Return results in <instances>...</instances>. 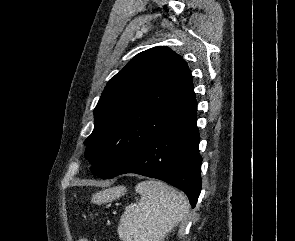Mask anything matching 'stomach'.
<instances>
[{"instance_id":"0dacf381","label":"stomach","mask_w":295,"mask_h":241,"mask_svg":"<svg viewBox=\"0 0 295 241\" xmlns=\"http://www.w3.org/2000/svg\"><path fill=\"white\" fill-rule=\"evenodd\" d=\"M125 188L123 187H114L109 188L103 191H100L93 195L92 202L96 204L106 203L118 198L121 194H123Z\"/></svg>"}]
</instances>
